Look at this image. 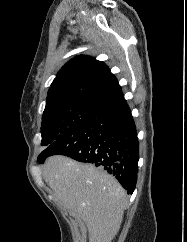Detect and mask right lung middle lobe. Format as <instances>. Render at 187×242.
I'll return each mask as SVG.
<instances>
[{
    "label": "right lung middle lobe",
    "instance_id": "1",
    "mask_svg": "<svg viewBox=\"0 0 187 242\" xmlns=\"http://www.w3.org/2000/svg\"><path fill=\"white\" fill-rule=\"evenodd\" d=\"M103 107L89 104H68L44 111L41 124L42 146H49L58 138L99 115Z\"/></svg>",
    "mask_w": 187,
    "mask_h": 242
}]
</instances>
